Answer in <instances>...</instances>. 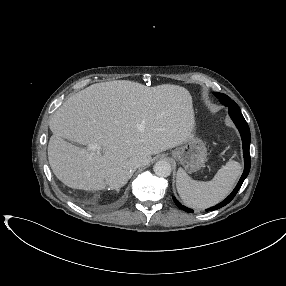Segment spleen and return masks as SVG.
<instances>
[{
	"mask_svg": "<svg viewBox=\"0 0 286 286\" xmlns=\"http://www.w3.org/2000/svg\"><path fill=\"white\" fill-rule=\"evenodd\" d=\"M241 175V165L228 161L210 181H195L183 170L177 173V190L185 205L206 209L224 200L233 190Z\"/></svg>",
	"mask_w": 286,
	"mask_h": 286,
	"instance_id": "obj_1",
	"label": "spleen"
}]
</instances>
